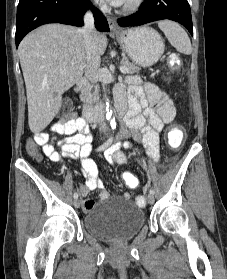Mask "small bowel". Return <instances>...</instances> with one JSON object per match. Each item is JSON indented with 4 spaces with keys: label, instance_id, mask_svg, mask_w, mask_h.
<instances>
[{
    "label": "small bowel",
    "instance_id": "small-bowel-1",
    "mask_svg": "<svg viewBox=\"0 0 227 279\" xmlns=\"http://www.w3.org/2000/svg\"><path fill=\"white\" fill-rule=\"evenodd\" d=\"M116 100L128 102V111L123 120L121 138L132 137L135 141H142L150 158H159V134L164 126L174 120L176 109L172 98L158 86L150 82H142L137 76L127 79V88L118 86L115 90ZM51 131L64 138L57 142V146L49 142L50 134H37L33 141L42 146L44 155L51 161L62 163L66 158H80L85 182L80 185V194L85 197L83 210L91 212L96 200L86 198L93 191L98 190V200L108 199V193L102 189L103 183L97 176V166L90 158L92 152V135L84 119L71 114L53 122ZM120 145L129 147L131 144L117 142L104 152V157L111 164H126L127 154L118 150Z\"/></svg>",
    "mask_w": 227,
    "mask_h": 279
}]
</instances>
